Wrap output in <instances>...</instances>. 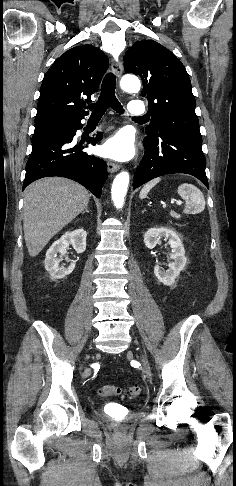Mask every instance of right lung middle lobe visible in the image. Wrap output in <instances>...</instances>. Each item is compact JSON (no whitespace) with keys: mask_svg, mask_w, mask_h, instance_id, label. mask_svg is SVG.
<instances>
[{"mask_svg":"<svg viewBox=\"0 0 236 486\" xmlns=\"http://www.w3.org/2000/svg\"><path fill=\"white\" fill-rule=\"evenodd\" d=\"M42 126H43V125H40V126H35V131L40 130Z\"/></svg>","mask_w":236,"mask_h":486,"instance_id":"right-lung-middle-lobe-1","label":"right lung middle lobe"}]
</instances>
